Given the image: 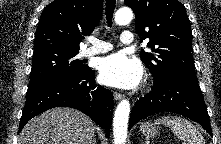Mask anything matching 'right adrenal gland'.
<instances>
[{
  "mask_svg": "<svg viewBox=\"0 0 221 144\" xmlns=\"http://www.w3.org/2000/svg\"><path fill=\"white\" fill-rule=\"evenodd\" d=\"M93 144H97V143H96V138H95V137L93 138Z\"/></svg>",
  "mask_w": 221,
  "mask_h": 144,
  "instance_id": "2a0ac1e0",
  "label": "right adrenal gland"
}]
</instances>
